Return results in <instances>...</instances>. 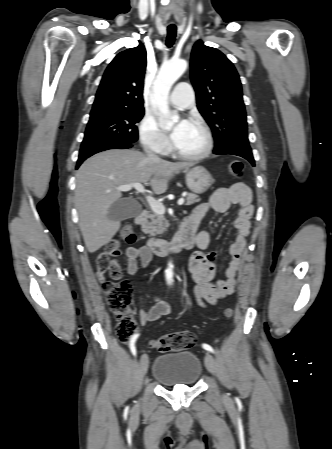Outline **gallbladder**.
<instances>
[{
    "mask_svg": "<svg viewBox=\"0 0 332 449\" xmlns=\"http://www.w3.org/2000/svg\"><path fill=\"white\" fill-rule=\"evenodd\" d=\"M141 212V206L133 198H120L114 202L108 210V218L112 220H126L137 216Z\"/></svg>",
    "mask_w": 332,
    "mask_h": 449,
    "instance_id": "gallbladder-1",
    "label": "gallbladder"
}]
</instances>
